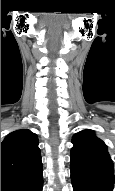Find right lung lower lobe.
I'll use <instances>...</instances> for the list:
<instances>
[{
    "mask_svg": "<svg viewBox=\"0 0 115 191\" xmlns=\"http://www.w3.org/2000/svg\"><path fill=\"white\" fill-rule=\"evenodd\" d=\"M42 168L27 175L1 177V191H42Z\"/></svg>",
    "mask_w": 115,
    "mask_h": 191,
    "instance_id": "1",
    "label": "right lung lower lobe"
}]
</instances>
